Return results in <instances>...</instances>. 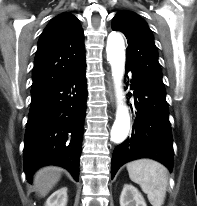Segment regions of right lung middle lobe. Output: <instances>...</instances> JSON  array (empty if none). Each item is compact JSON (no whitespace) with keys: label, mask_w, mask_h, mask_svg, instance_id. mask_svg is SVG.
I'll list each match as a JSON object with an SVG mask.
<instances>
[{"label":"right lung middle lobe","mask_w":197,"mask_h":206,"mask_svg":"<svg viewBox=\"0 0 197 206\" xmlns=\"http://www.w3.org/2000/svg\"><path fill=\"white\" fill-rule=\"evenodd\" d=\"M38 95H40V94H32V98H35V97H37Z\"/></svg>","instance_id":"1"}]
</instances>
